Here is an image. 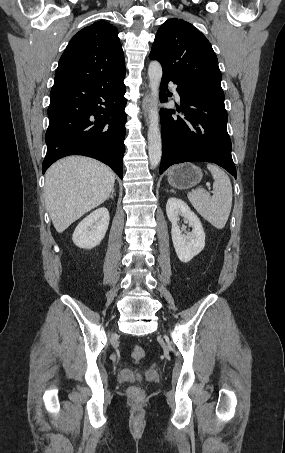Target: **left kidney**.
Wrapping results in <instances>:
<instances>
[{"instance_id":"1","label":"left kidney","mask_w":285,"mask_h":453,"mask_svg":"<svg viewBox=\"0 0 285 453\" xmlns=\"http://www.w3.org/2000/svg\"><path fill=\"white\" fill-rule=\"evenodd\" d=\"M166 213L172 224L171 236L176 254L180 261L189 262L198 255L205 246V233L197 215L189 206L178 198H169L166 204ZM184 217L192 227L188 235L182 234L178 222Z\"/></svg>"}]
</instances>
